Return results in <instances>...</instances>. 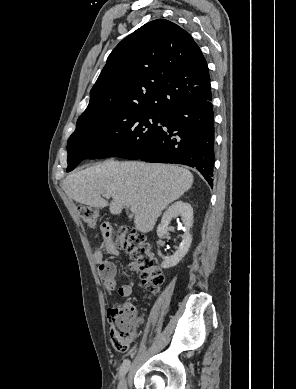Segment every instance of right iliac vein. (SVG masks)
I'll return each instance as SVG.
<instances>
[{"mask_svg":"<svg viewBox=\"0 0 296 389\" xmlns=\"http://www.w3.org/2000/svg\"><path fill=\"white\" fill-rule=\"evenodd\" d=\"M118 389H127V378H126V377H124V378L120 381V383H119V385H118Z\"/></svg>","mask_w":296,"mask_h":389,"instance_id":"obj_1","label":"right iliac vein"}]
</instances>
